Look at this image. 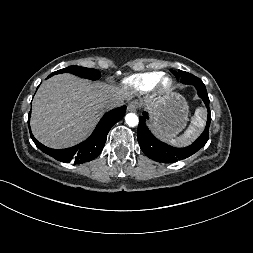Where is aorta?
<instances>
[{"mask_svg":"<svg viewBox=\"0 0 253 253\" xmlns=\"http://www.w3.org/2000/svg\"><path fill=\"white\" fill-rule=\"evenodd\" d=\"M125 121L129 126L134 127V126L138 125L139 119H138V116L136 114L128 113L125 116Z\"/></svg>","mask_w":253,"mask_h":253,"instance_id":"aorta-1","label":"aorta"}]
</instances>
